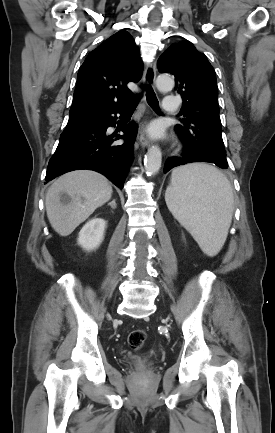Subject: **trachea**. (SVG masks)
<instances>
[{
	"label": "trachea",
	"instance_id": "trachea-1",
	"mask_svg": "<svg viewBox=\"0 0 275 433\" xmlns=\"http://www.w3.org/2000/svg\"><path fill=\"white\" fill-rule=\"evenodd\" d=\"M147 90V102L150 107H152L154 110L159 111V102L157 100L156 94L154 93L153 89L151 87H145ZM138 101L135 100L129 107L128 111H134L137 106Z\"/></svg>",
	"mask_w": 275,
	"mask_h": 433
}]
</instances>
